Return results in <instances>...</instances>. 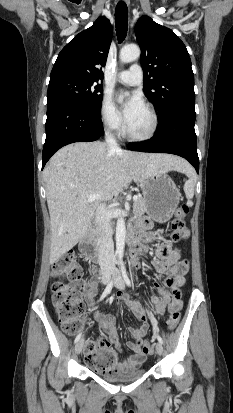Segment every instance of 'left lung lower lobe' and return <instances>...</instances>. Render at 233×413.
Wrapping results in <instances>:
<instances>
[{"mask_svg":"<svg viewBox=\"0 0 233 413\" xmlns=\"http://www.w3.org/2000/svg\"><path fill=\"white\" fill-rule=\"evenodd\" d=\"M194 125V113L176 110L160 117V127L153 138L129 145L127 148L132 151L179 155L188 160L198 173L199 158Z\"/></svg>","mask_w":233,"mask_h":413,"instance_id":"0a47b994","label":"left lung lower lobe"}]
</instances>
